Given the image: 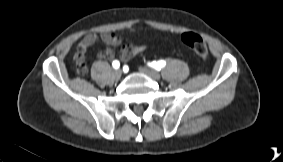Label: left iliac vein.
<instances>
[{
  "label": "left iliac vein",
  "mask_w": 283,
  "mask_h": 162,
  "mask_svg": "<svg viewBox=\"0 0 283 162\" xmlns=\"http://www.w3.org/2000/svg\"><path fill=\"white\" fill-rule=\"evenodd\" d=\"M140 72H142L143 74L147 75L148 77L154 79V80H160L161 76L160 74L152 69H148L145 67L139 68Z\"/></svg>",
  "instance_id": "1"
}]
</instances>
